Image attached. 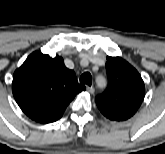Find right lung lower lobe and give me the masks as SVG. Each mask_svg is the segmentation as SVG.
<instances>
[{"mask_svg":"<svg viewBox=\"0 0 165 154\" xmlns=\"http://www.w3.org/2000/svg\"><path fill=\"white\" fill-rule=\"evenodd\" d=\"M64 110L65 109H62V110H60V111H58V112H56L54 114H51V115L46 116V117H43V118L37 120V122H39V123H50V122H54V121H56V120H58V119H60L62 117V115L64 113Z\"/></svg>","mask_w":165,"mask_h":154,"instance_id":"98d812e1","label":"right lung lower lobe"}]
</instances>
